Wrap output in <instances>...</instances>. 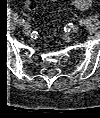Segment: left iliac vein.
I'll return each instance as SVG.
<instances>
[{
  "mask_svg": "<svg viewBox=\"0 0 100 118\" xmlns=\"http://www.w3.org/2000/svg\"><path fill=\"white\" fill-rule=\"evenodd\" d=\"M78 30H79V27L77 25H75L71 28L70 32L71 33H76V32H78Z\"/></svg>",
  "mask_w": 100,
  "mask_h": 118,
  "instance_id": "left-iliac-vein-1",
  "label": "left iliac vein"
}]
</instances>
